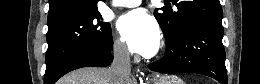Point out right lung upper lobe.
Segmentation results:
<instances>
[{"label": "right lung upper lobe", "instance_id": "obj_1", "mask_svg": "<svg viewBox=\"0 0 260 84\" xmlns=\"http://www.w3.org/2000/svg\"><path fill=\"white\" fill-rule=\"evenodd\" d=\"M98 0H49L48 27L97 12Z\"/></svg>", "mask_w": 260, "mask_h": 84}]
</instances>
